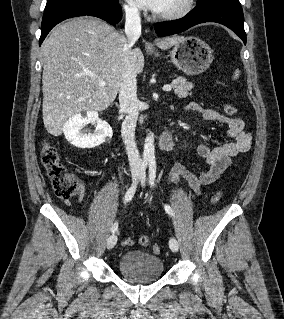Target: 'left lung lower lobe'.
Segmentation results:
<instances>
[{
    "instance_id": "left-lung-lower-lobe-1",
    "label": "left lung lower lobe",
    "mask_w": 284,
    "mask_h": 319,
    "mask_svg": "<svg viewBox=\"0 0 284 319\" xmlns=\"http://www.w3.org/2000/svg\"><path fill=\"white\" fill-rule=\"evenodd\" d=\"M204 22L223 24L234 31L246 44L244 30V15L239 0H214L203 5H197L185 17L161 22L155 25L158 36H168L185 31L186 29Z\"/></svg>"
}]
</instances>
